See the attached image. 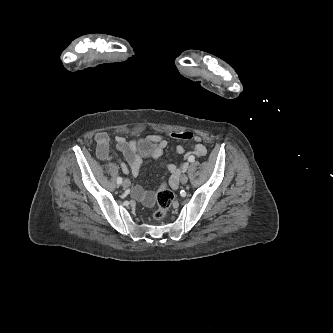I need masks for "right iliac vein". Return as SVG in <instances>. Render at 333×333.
Wrapping results in <instances>:
<instances>
[{"mask_svg":"<svg viewBox=\"0 0 333 333\" xmlns=\"http://www.w3.org/2000/svg\"><path fill=\"white\" fill-rule=\"evenodd\" d=\"M122 186H123L124 188H128V187L130 186V181H129L128 179H125V180L123 181V183H122Z\"/></svg>","mask_w":333,"mask_h":333,"instance_id":"63e3f726","label":"right iliac vein"}]
</instances>
